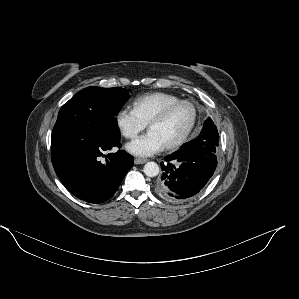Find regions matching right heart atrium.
<instances>
[{"mask_svg":"<svg viewBox=\"0 0 299 299\" xmlns=\"http://www.w3.org/2000/svg\"><path fill=\"white\" fill-rule=\"evenodd\" d=\"M115 124L119 133L127 139H134L147 125L132 108L127 107L116 113Z\"/></svg>","mask_w":299,"mask_h":299,"instance_id":"right-heart-atrium-1","label":"right heart atrium"}]
</instances>
